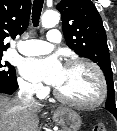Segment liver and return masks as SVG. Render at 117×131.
<instances>
[{
  "label": "liver",
  "mask_w": 117,
  "mask_h": 131,
  "mask_svg": "<svg viewBox=\"0 0 117 131\" xmlns=\"http://www.w3.org/2000/svg\"><path fill=\"white\" fill-rule=\"evenodd\" d=\"M41 106L23 104L0 94V131H37Z\"/></svg>",
  "instance_id": "liver-1"
}]
</instances>
